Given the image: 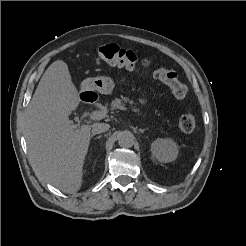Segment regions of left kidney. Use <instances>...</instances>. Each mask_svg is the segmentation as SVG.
I'll return each mask as SVG.
<instances>
[{"label": "left kidney", "mask_w": 246, "mask_h": 246, "mask_svg": "<svg viewBox=\"0 0 246 246\" xmlns=\"http://www.w3.org/2000/svg\"><path fill=\"white\" fill-rule=\"evenodd\" d=\"M151 153L158 161L169 163L176 160L179 149L171 138H158L151 144Z\"/></svg>", "instance_id": "1"}]
</instances>
